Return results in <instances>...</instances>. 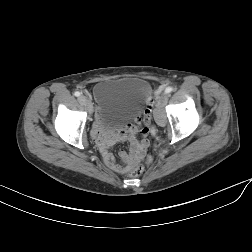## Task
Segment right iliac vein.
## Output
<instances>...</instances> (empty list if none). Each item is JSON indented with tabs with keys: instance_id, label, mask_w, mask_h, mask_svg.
I'll list each match as a JSON object with an SVG mask.
<instances>
[{
	"instance_id": "63e3f726",
	"label": "right iliac vein",
	"mask_w": 252,
	"mask_h": 252,
	"mask_svg": "<svg viewBox=\"0 0 252 252\" xmlns=\"http://www.w3.org/2000/svg\"><path fill=\"white\" fill-rule=\"evenodd\" d=\"M79 102L86 107V109L91 112V104L86 96H80Z\"/></svg>"
}]
</instances>
